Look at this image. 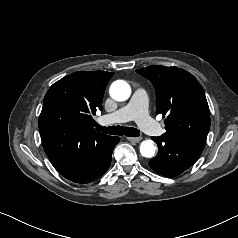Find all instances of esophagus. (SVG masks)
Listing matches in <instances>:
<instances>
[{
    "label": "esophagus",
    "mask_w": 238,
    "mask_h": 238,
    "mask_svg": "<svg viewBox=\"0 0 238 238\" xmlns=\"http://www.w3.org/2000/svg\"><path fill=\"white\" fill-rule=\"evenodd\" d=\"M127 140L130 141V142H140L142 140L141 137H127Z\"/></svg>",
    "instance_id": "34e87169"
}]
</instances>
